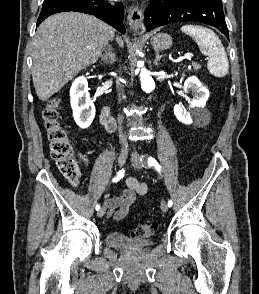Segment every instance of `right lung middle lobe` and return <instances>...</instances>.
<instances>
[{
    "instance_id": "dd1d6c3e",
    "label": "right lung middle lobe",
    "mask_w": 259,
    "mask_h": 294,
    "mask_svg": "<svg viewBox=\"0 0 259 294\" xmlns=\"http://www.w3.org/2000/svg\"><path fill=\"white\" fill-rule=\"evenodd\" d=\"M48 1H50V0H44V3L48 2Z\"/></svg>"
}]
</instances>
